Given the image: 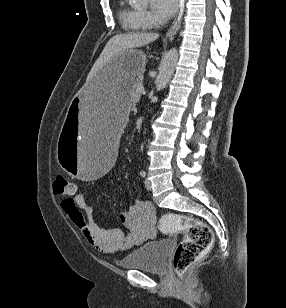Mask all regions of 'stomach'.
Wrapping results in <instances>:
<instances>
[{"label": "stomach", "instance_id": "obj_1", "mask_svg": "<svg viewBox=\"0 0 286 308\" xmlns=\"http://www.w3.org/2000/svg\"><path fill=\"white\" fill-rule=\"evenodd\" d=\"M145 63L142 51H122L104 60L103 67L70 100L68 118H62L57 161L77 182H100L113 168L118 159V125L127 124L131 93Z\"/></svg>", "mask_w": 286, "mask_h": 308}]
</instances>
